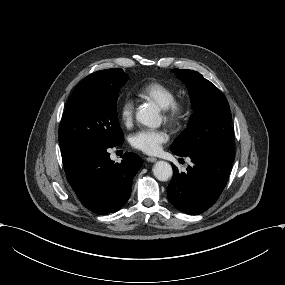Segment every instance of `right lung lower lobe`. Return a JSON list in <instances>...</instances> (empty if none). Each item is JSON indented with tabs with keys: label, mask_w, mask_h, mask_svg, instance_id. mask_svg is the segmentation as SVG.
Wrapping results in <instances>:
<instances>
[{
	"label": "right lung lower lobe",
	"mask_w": 285,
	"mask_h": 285,
	"mask_svg": "<svg viewBox=\"0 0 285 285\" xmlns=\"http://www.w3.org/2000/svg\"><path fill=\"white\" fill-rule=\"evenodd\" d=\"M107 150L86 147L62 154L67 180L80 202L101 215L115 212L127 202L133 178L142 166V159L128 152L121 163L114 164Z\"/></svg>",
	"instance_id": "obj_1"
}]
</instances>
